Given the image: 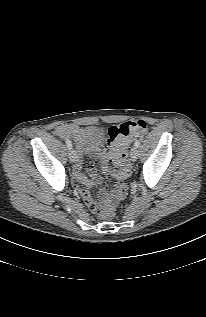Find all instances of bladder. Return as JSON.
<instances>
[{
    "label": "bladder",
    "instance_id": "bladder-1",
    "mask_svg": "<svg viewBox=\"0 0 206 317\" xmlns=\"http://www.w3.org/2000/svg\"><path fill=\"white\" fill-rule=\"evenodd\" d=\"M104 139V134L99 130H94L89 134L88 141L90 143L100 144V142Z\"/></svg>",
    "mask_w": 206,
    "mask_h": 317
}]
</instances>
